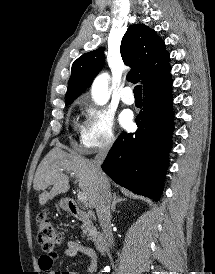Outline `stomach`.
Segmentation results:
<instances>
[{
  "instance_id": "stomach-1",
  "label": "stomach",
  "mask_w": 215,
  "mask_h": 274,
  "mask_svg": "<svg viewBox=\"0 0 215 274\" xmlns=\"http://www.w3.org/2000/svg\"><path fill=\"white\" fill-rule=\"evenodd\" d=\"M61 206H62V207H65V205H64V203H63V202H61Z\"/></svg>"
}]
</instances>
